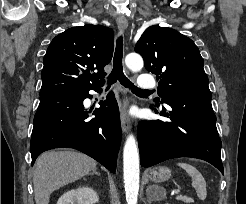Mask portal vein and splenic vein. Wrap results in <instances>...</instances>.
<instances>
[{
  "label": "portal vein and splenic vein",
  "mask_w": 246,
  "mask_h": 204,
  "mask_svg": "<svg viewBox=\"0 0 246 204\" xmlns=\"http://www.w3.org/2000/svg\"><path fill=\"white\" fill-rule=\"evenodd\" d=\"M174 192H175V194H179L180 193V189H175Z\"/></svg>",
  "instance_id": "obj_1"
}]
</instances>
